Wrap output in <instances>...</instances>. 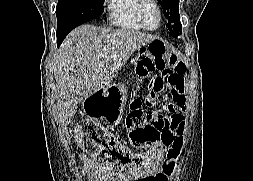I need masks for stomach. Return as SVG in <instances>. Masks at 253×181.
<instances>
[{"mask_svg":"<svg viewBox=\"0 0 253 181\" xmlns=\"http://www.w3.org/2000/svg\"><path fill=\"white\" fill-rule=\"evenodd\" d=\"M124 86L113 84L102 88L83 100V111L92 119H106L109 122H118L124 111Z\"/></svg>","mask_w":253,"mask_h":181,"instance_id":"0dacf381","label":"stomach"}]
</instances>
